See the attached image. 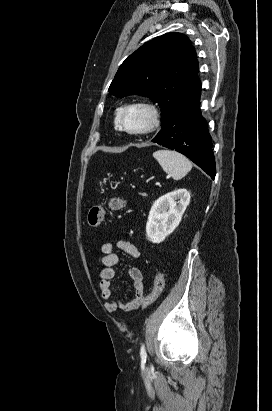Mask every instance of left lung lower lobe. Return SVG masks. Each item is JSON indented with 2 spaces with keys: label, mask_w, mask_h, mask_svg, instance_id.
Wrapping results in <instances>:
<instances>
[{
  "label": "left lung lower lobe",
  "mask_w": 272,
  "mask_h": 411,
  "mask_svg": "<svg viewBox=\"0 0 272 411\" xmlns=\"http://www.w3.org/2000/svg\"><path fill=\"white\" fill-rule=\"evenodd\" d=\"M199 99L200 91L181 105L152 142L184 154L214 179L212 138L201 114Z\"/></svg>",
  "instance_id": "left-lung-lower-lobe-1"
}]
</instances>
